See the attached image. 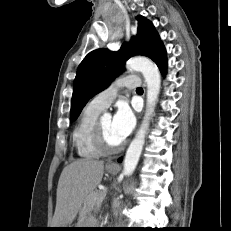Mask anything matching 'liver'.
Masks as SVG:
<instances>
[{
    "mask_svg": "<svg viewBox=\"0 0 231 231\" xmlns=\"http://www.w3.org/2000/svg\"><path fill=\"white\" fill-rule=\"evenodd\" d=\"M104 162L79 159L66 166L59 178L52 228L70 225L86 204L87 197L100 184ZM85 214V212H83Z\"/></svg>",
    "mask_w": 231,
    "mask_h": 231,
    "instance_id": "1",
    "label": "liver"
}]
</instances>
